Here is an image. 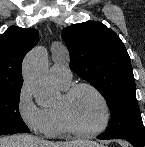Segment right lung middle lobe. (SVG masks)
I'll list each match as a JSON object with an SVG mask.
<instances>
[{
	"label": "right lung middle lobe",
	"mask_w": 145,
	"mask_h": 147,
	"mask_svg": "<svg viewBox=\"0 0 145 147\" xmlns=\"http://www.w3.org/2000/svg\"><path fill=\"white\" fill-rule=\"evenodd\" d=\"M20 91L21 86L0 90V135L29 132L18 110Z\"/></svg>",
	"instance_id": "1"
}]
</instances>
